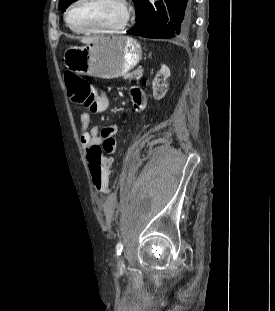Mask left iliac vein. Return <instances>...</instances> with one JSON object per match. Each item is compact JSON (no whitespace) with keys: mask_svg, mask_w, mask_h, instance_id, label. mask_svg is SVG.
<instances>
[{"mask_svg":"<svg viewBox=\"0 0 275 311\" xmlns=\"http://www.w3.org/2000/svg\"><path fill=\"white\" fill-rule=\"evenodd\" d=\"M117 265L119 268H122L124 266L123 260L119 259Z\"/></svg>","mask_w":275,"mask_h":311,"instance_id":"left-iliac-vein-1","label":"left iliac vein"}]
</instances>
